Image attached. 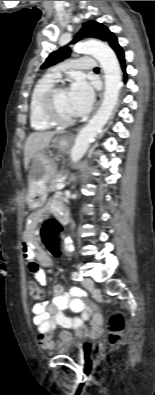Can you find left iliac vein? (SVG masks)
Masks as SVG:
<instances>
[{"label":"left iliac vein","mask_w":155,"mask_h":395,"mask_svg":"<svg viewBox=\"0 0 155 395\" xmlns=\"http://www.w3.org/2000/svg\"><path fill=\"white\" fill-rule=\"evenodd\" d=\"M82 284H83V286H84L86 289H88V290H92L93 287H94L93 281H92V279L89 278V277H85V278L82 280Z\"/></svg>","instance_id":"obj_1"}]
</instances>
